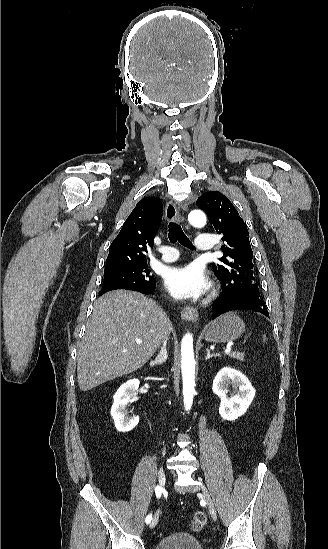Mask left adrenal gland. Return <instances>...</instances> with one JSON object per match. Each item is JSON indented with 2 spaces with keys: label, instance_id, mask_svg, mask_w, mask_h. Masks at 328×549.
<instances>
[{
  "label": "left adrenal gland",
  "instance_id": "obj_1",
  "mask_svg": "<svg viewBox=\"0 0 328 549\" xmlns=\"http://www.w3.org/2000/svg\"><path fill=\"white\" fill-rule=\"evenodd\" d=\"M206 351H207V357H206L205 361H208V359H211V357H217V355H211L210 349H206Z\"/></svg>",
  "mask_w": 328,
  "mask_h": 549
}]
</instances>
